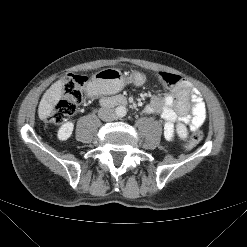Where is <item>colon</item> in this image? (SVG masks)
I'll use <instances>...</instances> for the list:
<instances>
[{"label":"colon","instance_id":"1","mask_svg":"<svg viewBox=\"0 0 247 247\" xmlns=\"http://www.w3.org/2000/svg\"><path fill=\"white\" fill-rule=\"evenodd\" d=\"M157 81L165 86L176 85L180 76L168 72H159L156 75ZM87 78L80 75L69 74L65 79L62 90V98L56 103L53 111L48 116V122L60 124L74 115L78 105L83 100L84 88ZM203 139V132L196 131L186 143V148L191 149Z\"/></svg>","mask_w":247,"mask_h":247}]
</instances>
